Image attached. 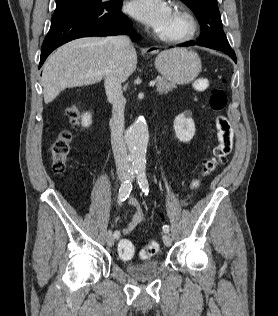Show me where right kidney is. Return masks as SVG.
Returning <instances> with one entry per match:
<instances>
[{
  "label": "right kidney",
  "mask_w": 278,
  "mask_h": 316,
  "mask_svg": "<svg viewBox=\"0 0 278 316\" xmlns=\"http://www.w3.org/2000/svg\"><path fill=\"white\" fill-rule=\"evenodd\" d=\"M92 122V115L88 112L82 115V125L88 127Z\"/></svg>",
  "instance_id": "obj_1"
}]
</instances>
